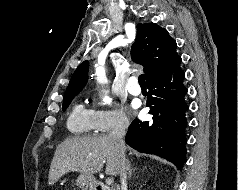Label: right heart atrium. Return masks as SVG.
<instances>
[{"mask_svg":"<svg viewBox=\"0 0 238 190\" xmlns=\"http://www.w3.org/2000/svg\"><path fill=\"white\" fill-rule=\"evenodd\" d=\"M93 129L100 134L126 129L130 120L120 108H97L91 110Z\"/></svg>","mask_w":238,"mask_h":190,"instance_id":"1","label":"right heart atrium"}]
</instances>
